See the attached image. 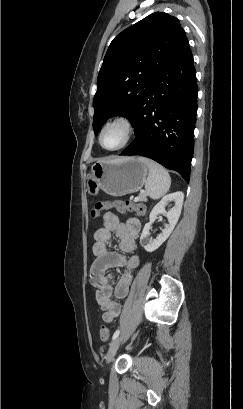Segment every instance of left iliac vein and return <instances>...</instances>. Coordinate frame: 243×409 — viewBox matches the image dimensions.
Listing matches in <instances>:
<instances>
[{
    "label": "left iliac vein",
    "instance_id": "4c4485c4",
    "mask_svg": "<svg viewBox=\"0 0 243 409\" xmlns=\"http://www.w3.org/2000/svg\"><path fill=\"white\" fill-rule=\"evenodd\" d=\"M122 339H123V336L120 335L111 343V345H110V347H109V349L107 351V354H106V363L107 364L111 363L112 359L114 358V356H115V354H116V352H117V350H118V348H119V346L121 344Z\"/></svg>",
    "mask_w": 243,
    "mask_h": 409
}]
</instances>
